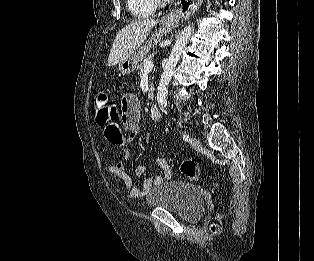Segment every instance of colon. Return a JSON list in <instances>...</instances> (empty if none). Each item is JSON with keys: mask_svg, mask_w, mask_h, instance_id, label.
<instances>
[{"mask_svg": "<svg viewBox=\"0 0 314 261\" xmlns=\"http://www.w3.org/2000/svg\"><path fill=\"white\" fill-rule=\"evenodd\" d=\"M95 121L98 126L105 129V124L110 120H118L119 111L117 104L105 92H99L94 98ZM124 141V140H123ZM182 174L189 179H196L199 173V165L193 160H186L181 165ZM216 225L210 226V230L215 232Z\"/></svg>", "mask_w": 314, "mask_h": 261, "instance_id": "1", "label": "colon"}]
</instances>
